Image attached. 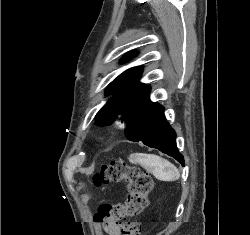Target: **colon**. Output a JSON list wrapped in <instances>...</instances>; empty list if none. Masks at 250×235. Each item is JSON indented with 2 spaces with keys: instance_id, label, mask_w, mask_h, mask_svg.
<instances>
[{
  "instance_id": "5ec220e1",
  "label": "colon",
  "mask_w": 250,
  "mask_h": 235,
  "mask_svg": "<svg viewBox=\"0 0 250 235\" xmlns=\"http://www.w3.org/2000/svg\"><path fill=\"white\" fill-rule=\"evenodd\" d=\"M118 182H124L126 185V201L101 205L95 214V221L103 225L118 226L122 235H140L141 224L134 218L148 205L152 179L147 173L122 160L103 165L100 172L94 176L96 186Z\"/></svg>"
}]
</instances>
